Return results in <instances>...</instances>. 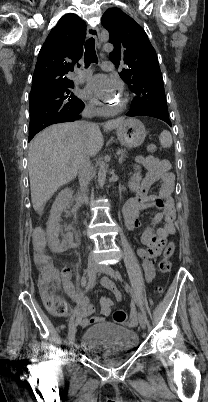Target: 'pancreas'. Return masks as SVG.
I'll return each instance as SVG.
<instances>
[{
  "mask_svg": "<svg viewBox=\"0 0 208 402\" xmlns=\"http://www.w3.org/2000/svg\"><path fill=\"white\" fill-rule=\"evenodd\" d=\"M118 154H121V158H124V156H126V150H119Z\"/></svg>",
  "mask_w": 208,
  "mask_h": 402,
  "instance_id": "cf45deb5",
  "label": "pancreas"
}]
</instances>
